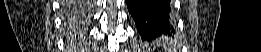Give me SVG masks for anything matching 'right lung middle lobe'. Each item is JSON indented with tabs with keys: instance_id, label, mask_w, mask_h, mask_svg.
Returning a JSON list of instances; mask_svg holds the SVG:
<instances>
[{
	"instance_id": "obj_1",
	"label": "right lung middle lobe",
	"mask_w": 261,
	"mask_h": 52,
	"mask_svg": "<svg viewBox=\"0 0 261 52\" xmlns=\"http://www.w3.org/2000/svg\"><path fill=\"white\" fill-rule=\"evenodd\" d=\"M78 11H79V8L77 9V13L74 14L76 17H78V13H79ZM74 15H72V16H74Z\"/></svg>"
}]
</instances>
